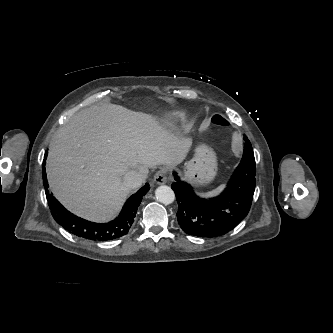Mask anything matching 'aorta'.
<instances>
[{
	"label": "aorta",
	"mask_w": 333,
	"mask_h": 333,
	"mask_svg": "<svg viewBox=\"0 0 333 333\" xmlns=\"http://www.w3.org/2000/svg\"><path fill=\"white\" fill-rule=\"evenodd\" d=\"M155 196L163 204H171L175 200L174 191L166 185L159 186L155 191Z\"/></svg>",
	"instance_id": "aorta-1"
}]
</instances>
